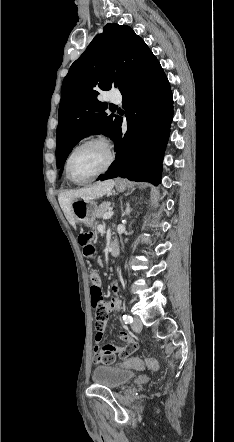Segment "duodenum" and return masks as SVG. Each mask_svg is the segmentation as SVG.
Here are the masks:
<instances>
[{
	"label": "duodenum",
	"mask_w": 234,
	"mask_h": 442,
	"mask_svg": "<svg viewBox=\"0 0 234 442\" xmlns=\"http://www.w3.org/2000/svg\"><path fill=\"white\" fill-rule=\"evenodd\" d=\"M119 252H120L119 243L116 241L110 243V245L107 248V253L110 255H118Z\"/></svg>",
	"instance_id": "obj_1"
}]
</instances>
